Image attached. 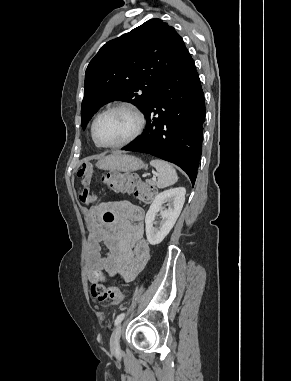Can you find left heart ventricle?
<instances>
[{"label":"left heart ventricle","instance_id":"1","mask_svg":"<svg viewBox=\"0 0 291 381\" xmlns=\"http://www.w3.org/2000/svg\"><path fill=\"white\" fill-rule=\"evenodd\" d=\"M137 119L129 110L118 109L104 115L97 123L98 138L114 144L128 138L136 129Z\"/></svg>","mask_w":291,"mask_h":381}]
</instances>
